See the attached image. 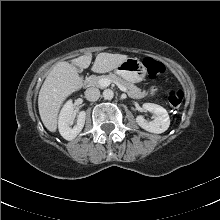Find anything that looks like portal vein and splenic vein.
Returning <instances> with one entry per match:
<instances>
[{
	"mask_svg": "<svg viewBox=\"0 0 220 220\" xmlns=\"http://www.w3.org/2000/svg\"><path fill=\"white\" fill-rule=\"evenodd\" d=\"M98 83H99V85H100L101 87H107V86H109V85L112 83V81H111L110 79H108V78H102V79H100V80L98 81ZM115 84L118 86V88H119L121 91L127 92V89H126L123 85H121V84H119V83H115Z\"/></svg>",
	"mask_w": 220,
	"mask_h": 220,
	"instance_id": "obj_1",
	"label": "portal vein and splenic vein"
}]
</instances>
